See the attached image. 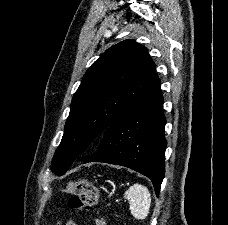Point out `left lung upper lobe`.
<instances>
[{
    "label": "left lung upper lobe",
    "instance_id": "1",
    "mask_svg": "<svg viewBox=\"0 0 228 225\" xmlns=\"http://www.w3.org/2000/svg\"><path fill=\"white\" fill-rule=\"evenodd\" d=\"M158 80L147 49L134 40L106 50L87 70L73 96L64 135L52 160L55 174L63 175Z\"/></svg>",
    "mask_w": 228,
    "mask_h": 225
}]
</instances>
